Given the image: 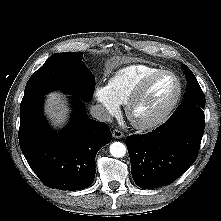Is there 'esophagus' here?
Instances as JSON below:
<instances>
[{"label":"esophagus","instance_id":"esophagus-1","mask_svg":"<svg viewBox=\"0 0 221 221\" xmlns=\"http://www.w3.org/2000/svg\"><path fill=\"white\" fill-rule=\"evenodd\" d=\"M112 135L116 139H120L124 136L123 132L118 130V129H114L113 132H112Z\"/></svg>","mask_w":221,"mask_h":221}]
</instances>
